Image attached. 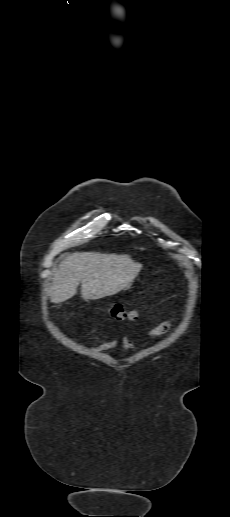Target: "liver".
Instances as JSON below:
<instances>
[{
    "instance_id": "1",
    "label": "liver",
    "mask_w": 230,
    "mask_h": 517,
    "mask_svg": "<svg viewBox=\"0 0 230 517\" xmlns=\"http://www.w3.org/2000/svg\"><path fill=\"white\" fill-rule=\"evenodd\" d=\"M142 268L124 254L76 252L59 264L54 274L50 300L64 302L77 293L79 283L85 300L115 295L127 287Z\"/></svg>"
}]
</instances>
